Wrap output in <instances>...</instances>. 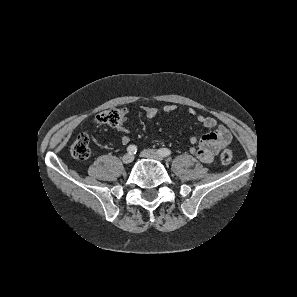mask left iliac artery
Wrapping results in <instances>:
<instances>
[{
	"label": "left iliac artery",
	"instance_id": "1",
	"mask_svg": "<svg viewBox=\"0 0 297 297\" xmlns=\"http://www.w3.org/2000/svg\"><path fill=\"white\" fill-rule=\"evenodd\" d=\"M158 153L160 155H162L163 157H167V156H170L171 155V151L167 148H161L158 150Z\"/></svg>",
	"mask_w": 297,
	"mask_h": 297
}]
</instances>
